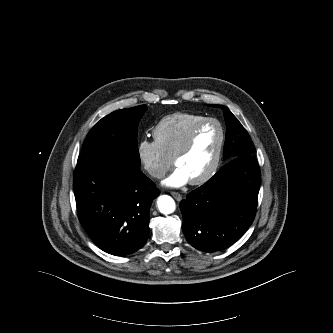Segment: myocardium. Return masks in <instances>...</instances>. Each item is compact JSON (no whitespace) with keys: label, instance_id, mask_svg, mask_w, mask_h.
Returning <instances> with one entry per match:
<instances>
[{"label":"myocardium","instance_id":"obj_1","mask_svg":"<svg viewBox=\"0 0 333 333\" xmlns=\"http://www.w3.org/2000/svg\"><path fill=\"white\" fill-rule=\"evenodd\" d=\"M211 123L216 124L220 131V142H219L218 150L216 153V157L207 172H205L199 178L190 181L191 185H195V186L202 185V184L208 182L217 173V171L220 167L221 161H222L224 147H225V143H226V132H225V128H224L223 124L216 118H205L204 120L200 121L191 129V131L187 135L186 139L184 140L183 144L173 155V163L175 165L176 161L180 157L184 156L191 150V148L194 144L196 135L200 131V129H202L204 126L211 124Z\"/></svg>","mask_w":333,"mask_h":333}]
</instances>
